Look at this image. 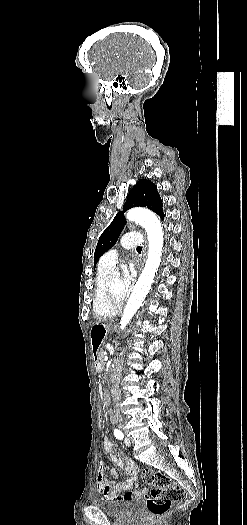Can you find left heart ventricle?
I'll return each instance as SVG.
<instances>
[{
	"mask_svg": "<svg viewBox=\"0 0 247 525\" xmlns=\"http://www.w3.org/2000/svg\"><path fill=\"white\" fill-rule=\"evenodd\" d=\"M130 256L131 254L130 253H126L122 259H121V262H120V265H119V268L121 270H124V269H134V270H141L145 267H150V264H138L137 262H133L131 259H130ZM120 277L118 278H114L112 277L110 279V283H109V288H110V292L113 293V294H116L117 295V291H118V287L120 285Z\"/></svg>",
	"mask_w": 247,
	"mask_h": 525,
	"instance_id": "obj_1",
	"label": "left heart ventricle"
}]
</instances>
